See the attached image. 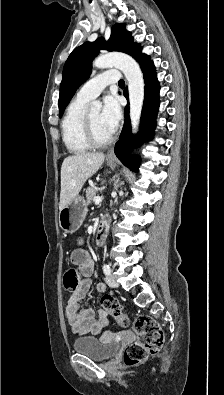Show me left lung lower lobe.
<instances>
[{"instance_id":"1","label":"left lung lower lobe","mask_w":224,"mask_h":395,"mask_svg":"<svg viewBox=\"0 0 224 395\" xmlns=\"http://www.w3.org/2000/svg\"><path fill=\"white\" fill-rule=\"evenodd\" d=\"M139 61L145 79V98L141 116V131L138 137L131 135V125L129 119V107L125 108V123L121 132V137L115 146V154L121 162L131 170L137 171L139 162L130 158V148L135 142L148 140L156 126L155 119L159 109V83L157 81L155 67L150 57L142 54L141 51L134 57ZM124 96L128 99L127 89Z\"/></svg>"}]
</instances>
